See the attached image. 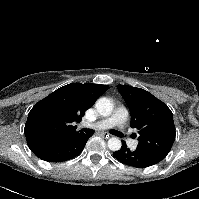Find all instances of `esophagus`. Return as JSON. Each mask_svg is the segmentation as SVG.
<instances>
[{
    "instance_id": "obj_1",
    "label": "esophagus",
    "mask_w": 199,
    "mask_h": 199,
    "mask_svg": "<svg viewBox=\"0 0 199 199\" xmlns=\"http://www.w3.org/2000/svg\"><path fill=\"white\" fill-rule=\"evenodd\" d=\"M104 136H106V138H109V134L103 133Z\"/></svg>"
}]
</instances>
